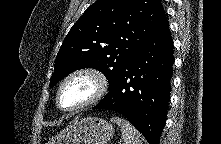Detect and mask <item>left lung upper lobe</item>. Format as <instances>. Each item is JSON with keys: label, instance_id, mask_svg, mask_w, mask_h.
<instances>
[{"label": "left lung upper lobe", "instance_id": "obj_1", "mask_svg": "<svg viewBox=\"0 0 221 144\" xmlns=\"http://www.w3.org/2000/svg\"><path fill=\"white\" fill-rule=\"evenodd\" d=\"M165 17L160 0L96 1L65 37L50 87L77 69L92 67L107 77L110 89Z\"/></svg>", "mask_w": 221, "mask_h": 144}]
</instances>
